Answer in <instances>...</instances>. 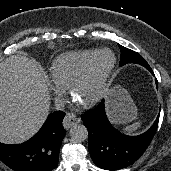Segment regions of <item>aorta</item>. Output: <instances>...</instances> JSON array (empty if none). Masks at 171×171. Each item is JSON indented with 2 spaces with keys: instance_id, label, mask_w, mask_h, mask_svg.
I'll use <instances>...</instances> for the list:
<instances>
[{
  "instance_id": "aorta-1",
  "label": "aorta",
  "mask_w": 171,
  "mask_h": 171,
  "mask_svg": "<svg viewBox=\"0 0 171 171\" xmlns=\"http://www.w3.org/2000/svg\"><path fill=\"white\" fill-rule=\"evenodd\" d=\"M73 141L82 142L88 138V130L83 124H74L70 129Z\"/></svg>"
}]
</instances>
